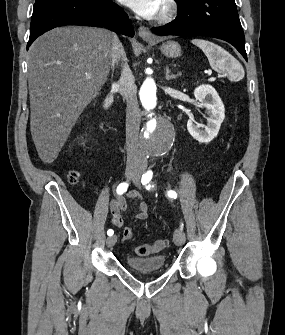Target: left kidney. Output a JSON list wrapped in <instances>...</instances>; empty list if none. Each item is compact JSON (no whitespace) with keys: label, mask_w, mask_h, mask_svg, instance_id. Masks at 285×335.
Returning <instances> with one entry per match:
<instances>
[{"label":"left kidney","mask_w":285,"mask_h":335,"mask_svg":"<svg viewBox=\"0 0 285 335\" xmlns=\"http://www.w3.org/2000/svg\"><path fill=\"white\" fill-rule=\"evenodd\" d=\"M194 96L196 100L201 102L200 106L206 108L209 118H207L205 130H201L200 126H196L193 118L188 120L187 130L192 138H195L201 144H209L213 138H216L220 130V126L225 118V108L221 98H219L215 88H212V86H206V84L198 86L194 90Z\"/></svg>","instance_id":"1"}]
</instances>
